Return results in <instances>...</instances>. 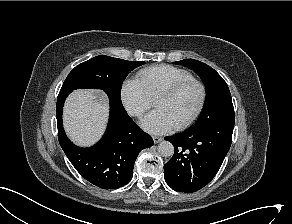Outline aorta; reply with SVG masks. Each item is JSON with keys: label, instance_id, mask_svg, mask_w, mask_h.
<instances>
[{"label": "aorta", "instance_id": "762f6f07", "mask_svg": "<svg viewBox=\"0 0 292 224\" xmlns=\"http://www.w3.org/2000/svg\"><path fill=\"white\" fill-rule=\"evenodd\" d=\"M158 152L163 157H170L174 154V146L169 141H162L158 145Z\"/></svg>", "mask_w": 292, "mask_h": 224}]
</instances>
